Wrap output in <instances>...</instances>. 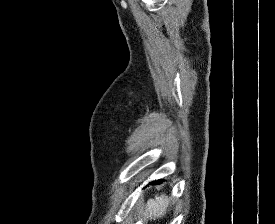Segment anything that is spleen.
<instances>
[{"label":"spleen","instance_id":"3e777b00","mask_svg":"<svg viewBox=\"0 0 275 224\" xmlns=\"http://www.w3.org/2000/svg\"><path fill=\"white\" fill-rule=\"evenodd\" d=\"M169 201L165 195L156 196L155 199H149L145 205L144 215L150 219L159 218L165 215Z\"/></svg>","mask_w":275,"mask_h":224}]
</instances>
